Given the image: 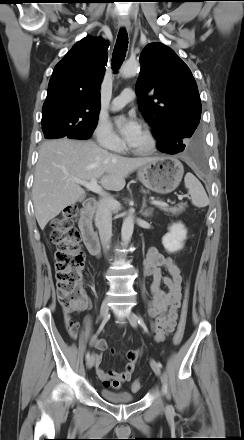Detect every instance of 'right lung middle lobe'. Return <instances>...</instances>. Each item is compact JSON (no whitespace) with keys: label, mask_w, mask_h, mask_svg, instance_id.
Listing matches in <instances>:
<instances>
[{"label":"right lung middle lobe","mask_w":244,"mask_h":440,"mask_svg":"<svg viewBox=\"0 0 244 440\" xmlns=\"http://www.w3.org/2000/svg\"><path fill=\"white\" fill-rule=\"evenodd\" d=\"M97 120L87 124H75L65 120L42 121V130L46 139L67 137L71 139H88L91 137Z\"/></svg>","instance_id":"obj_1"}]
</instances>
